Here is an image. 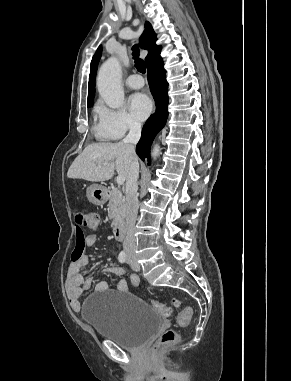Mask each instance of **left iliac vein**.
<instances>
[{
    "mask_svg": "<svg viewBox=\"0 0 291 381\" xmlns=\"http://www.w3.org/2000/svg\"><path fill=\"white\" fill-rule=\"evenodd\" d=\"M128 262L134 271H140V265L134 257L128 256Z\"/></svg>",
    "mask_w": 291,
    "mask_h": 381,
    "instance_id": "obj_1",
    "label": "left iliac vein"
}]
</instances>
